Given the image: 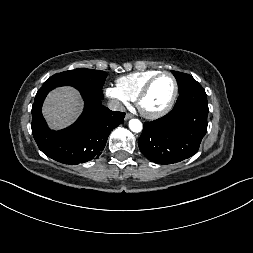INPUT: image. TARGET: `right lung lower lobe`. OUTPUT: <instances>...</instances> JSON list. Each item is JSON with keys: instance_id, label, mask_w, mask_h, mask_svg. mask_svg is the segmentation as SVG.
Returning <instances> with one entry per match:
<instances>
[{"instance_id": "right-lung-lower-lobe-1", "label": "right lung lower lobe", "mask_w": 253, "mask_h": 253, "mask_svg": "<svg viewBox=\"0 0 253 253\" xmlns=\"http://www.w3.org/2000/svg\"><path fill=\"white\" fill-rule=\"evenodd\" d=\"M51 87L42 86L32 106V134L39 149L48 157L69 165L87 162L101 154L111 131L124 122L125 113L111 111L101 99L81 93L85 108L70 127L52 131L48 128L41 107Z\"/></svg>"}]
</instances>
